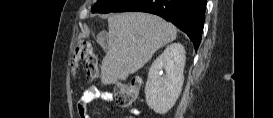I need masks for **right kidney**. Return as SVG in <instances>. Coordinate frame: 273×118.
I'll return each instance as SVG.
<instances>
[{"label": "right kidney", "instance_id": "obj_1", "mask_svg": "<svg viewBox=\"0 0 273 118\" xmlns=\"http://www.w3.org/2000/svg\"><path fill=\"white\" fill-rule=\"evenodd\" d=\"M185 60L184 47L180 43H173L152 63L145 86V97L149 108L156 113L167 112L178 99L184 82Z\"/></svg>", "mask_w": 273, "mask_h": 118}]
</instances>
